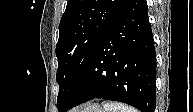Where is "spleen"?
Wrapping results in <instances>:
<instances>
[{"label":"spleen","mask_w":193,"mask_h":112,"mask_svg":"<svg viewBox=\"0 0 193 112\" xmlns=\"http://www.w3.org/2000/svg\"><path fill=\"white\" fill-rule=\"evenodd\" d=\"M103 107L106 112H138L135 108L116 102H105Z\"/></svg>","instance_id":"3e777b00"}]
</instances>
